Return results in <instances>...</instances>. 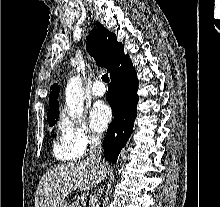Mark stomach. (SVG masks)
<instances>
[{
    "label": "stomach",
    "mask_w": 220,
    "mask_h": 207,
    "mask_svg": "<svg viewBox=\"0 0 220 207\" xmlns=\"http://www.w3.org/2000/svg\"><path fill=\"white\" fill-rule=\"evenodd\" d=\"M61 207H67L66 205H64V206H61Z\"/></svg>",
    "instance_id": "0dacf381"
}]
</instances>
